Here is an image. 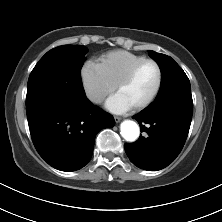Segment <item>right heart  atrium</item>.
Returning <instances> with one entry per match:
<instances>
[{
	"instance_id": "right-heart-atrium-1",
	"label": "right heart atrium",
	"mask_w": 222,
	"mask_h": 222,
	"mask_svg": "<svg viewBox=\"0 0 222 222\" xmlns=\"http://www.w3.org/2000/svg\"><path fill=\"white\" fill-rule=\"evenodd\" d=\"M81 77L85 95L94 104L101 103L115 88L99 64L92 60L82 67Z\"/></svg>"
}]
</instances>
